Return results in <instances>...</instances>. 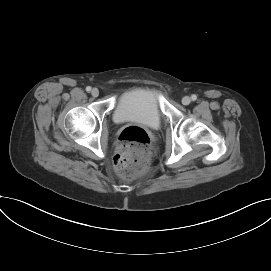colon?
Here are the masks:
<instances>
[{"mask_svg": "<svg viewBox=\"0 0 271 271\" xmlns=\"http://www.w3.org/2000/svg\"><path fill=\"white\" fill-rule=\"evenodd\" d=\"M150 137L146 130L138 126L125 128L118 139L113 158L115 171L122 177L141 174L150 157Z\"/></svg>", "mask_w": 271, "mask_h": 271, "instance_id": "1", "label": "colon"}]
</instances>
